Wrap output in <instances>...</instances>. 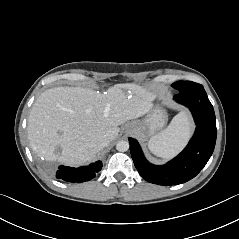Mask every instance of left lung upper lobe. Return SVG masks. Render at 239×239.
<instances>
[{
  "label": "left lung upper lobe",
  "instance_id": "left-lung-upper-lobe-1",
  "mask_svg": "<svg viewBox=\"0 0 239 239\" xmlns=\"http://www.w3.org/2000/svg\"><path fill=\"white\" fill-rule=\"evenodd\" d=\"M172 87L177 89L179 93H184L197 88H202L203 86L192 81H178L173 83Z\"/></svg>",
  "mask_w": 239,
  "mask_h": 239
}]
</instances>
